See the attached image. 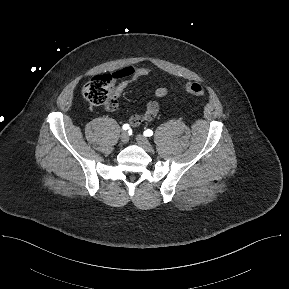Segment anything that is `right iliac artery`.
<instances>
[{
    "mask_svg": "<svg viewBox=\"0 0 289 289\" xmlns=\"http://www.w3.org/2000/svg\"><path fill=\"white\" fill-rule=\"evenodd\" d=\"M122 129H123V130H128V129H130L129 124H124V125L122 126Z\"/></svg>",
    "mask_w": 289,
    "mask_h": 289,
    "instance_id": "obj_1",
    "label": "right iliac artery"
}]
</instances>
